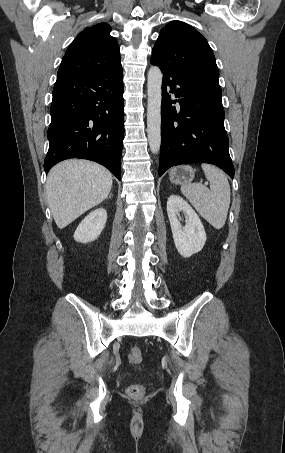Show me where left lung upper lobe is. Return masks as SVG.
<instances>
[{
  "mask_svg": "<svg viewBox=\"0 0 285 453\" xmlns=\"http://www.w3.org/2000/svg\"><path fill=\"white\" fill-rule=\"evenodd\" d=\"M152 57L164 67L184 73L222 93L219 71L207 40L190 25L171 21L161 29Z\"/></svg>",
  "mask_w": 285,
  "mask_h": 453,
  "instance_id": "left-lung-upper-lobe-1",
  "label": "left lung upper lobe"
}]
</instances>
